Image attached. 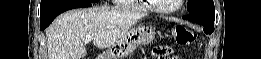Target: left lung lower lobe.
Listing matches in <instances>:
<instances>
[{
  "label": "left lung lower lobe",
  "mask_w": 261,
  "mask_h": 59,
  "mask_svg": "<svg viewBox=\"0 0 261 59\" xmlns=\"http://www.w3.org/2000/svg\"><path fill=\"white\" fill-rule=\"evenodd\" d=\"M183 18L203 25L204 31L207 34H211L214 31V19L212 18L195 14H190Z\"/></svg>",
  "instance_id": "0a47b994"
}]
</instances>
